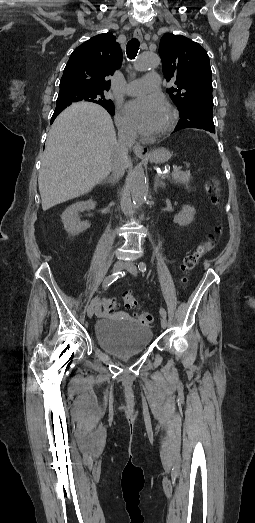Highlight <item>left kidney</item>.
<instances>
[{
	"instance_id": "obj_1",
	"label": "left kidney",
	"mask_w": 255,
	"mask_h": 523,
	"mask_svg": "<svg viewBox=\"0 0 255 523\" xmlns=\"http://www.w3.org/2000/svg\"><path fill=\"white\" fill-rule=\"evenodd\" d=\"M195 210L191 206H183L182 212L174 216L175 224H180V226H187L190 222H193Z\"/></svg>"
}]
</instances>
